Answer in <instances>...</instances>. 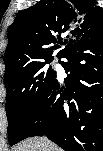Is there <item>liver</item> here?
<instances>
[{"mask_svg": "<svg viewBox=\"0 0 103 151\" xmlns=\"http://www.w3.org/2000/svg\"><path fill=\"white\" fill-rule=\"evenodd\" d=\"M19 151H36L42 149L39 139L28 140L17 148Z\"/></svg>", "mask_w": 103, "mask_h": 151, "instance_id": "obj_1", "label": "liver"}]
</instances>
